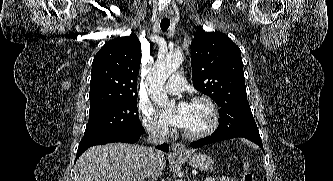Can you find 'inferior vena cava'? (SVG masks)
Listing matches in <instances>:
<instances>
[{"instance_id": "1", "label": "inferior vena cava", "mask_w": 333, "mask_h": 181, "mask_svg": "<svg viewBox=\"0 0 333 181\" xmlns=\"http://www.w3.org/2000/svg\"><path fill=\"white\" fill-rule=\"evenodd\" d=\"M148 139L147 141L152 145H159L168 141L167 131L164 127L158 125H152L148 127ZM162 153L155 149H150V155L147 167L148 178L156 179L157 176L161 175L162 168L159 164V158Z\"/></svg>"}]
</instances>
